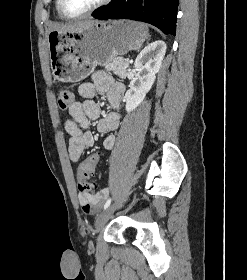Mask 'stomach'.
<instances>
[{"label":"stomach","mask_w":247,"mask_h":280,"mask_svg":"<svg viewBox=\"0 0 247 280\" xmlns=\"http://www.w3.org/2000/svg\"><path fill=\"white\" fill-rule=\"evenodd\" d=\"M148 36L145 24L131 20L99 21L76 32L48 33L51 68L61 82H78L97 65L139 49Z\"/></svg>","instance_id":"1"}]
</instances>
